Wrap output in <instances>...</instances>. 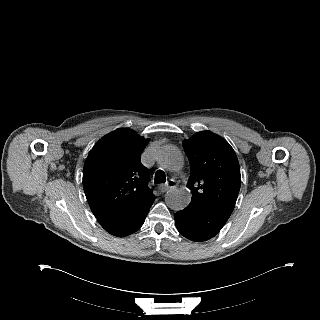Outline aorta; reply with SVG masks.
<instances>
[{
    "label": "aorta",
    "instance_id": "aorta-1",
    "mask_svg": "<svg viewBox=\"0 0 320 320\" xmlns=\"http://www.w3.org/2000/svg\"><path fill=\"white\" fill-rule=\"evenodd\" d=\"M156 158L159 165L166 170L177 171L183 165L182 154L174 146H163ZM165 200L172 210L179 211L188 206L191 201V193L186 189H176L168 192Z\"/></svg>",
    "mask_w": 320,
    "mask_h": 320
}]
</instances>
